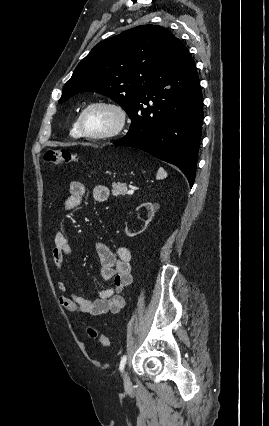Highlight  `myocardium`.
Listing matches in <instances>:
<instances>
[{"label":"myocardium","instance_id":"obj_1","mask_svg":"<svg viewBox=\"0 0 269 426\" xmlns=\"http://www.w3.org/2000/svg\"><path fill=\"white\" fill-rule=\"evenodd\" d=\"M95 107H103L109 109L115 114L116 123L110 130L101 133H91L86 129L84 125L85 115L90 109ZM127 122L128 116L124 108L117 103L105 100L93 101L87 104L80 112V115L77 120L81 136L93 140H106L119 136L125 130Z\"/></svg>","mask_w":269,"mask_h":426}]
</instances>
